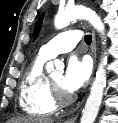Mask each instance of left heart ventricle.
Instances as JSON below:
<instances>
[{
    "label": "left heart ventricle",
    "mask_w": 118,
    "mask_h": 123,
    "mask_svg": "<svg viewBox=\"0 0 118 123\" xmlns=\"http://www.w3.org/2000/svg\"><path fill=\"white\" fill-rule=\"evenodd\" d=\"M51 80L53 81V83L60 88L63 92L67 93L64 88L62 87V80H63V74L59 73L54 75Z\"/></svg>",
    "instance_id": "1"
}]
</instances>
